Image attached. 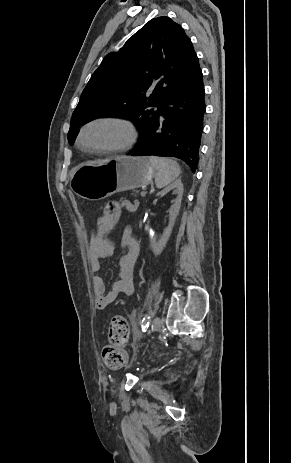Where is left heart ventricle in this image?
<instances>
[{"instance_id": "b2bd125f", "label": "left heart ventricle", "mask_w": 291, "mask_h": 463, "mask_svg": "<svg viewBox=\"0 0 291 463\" xmlns=\"http://www.w3.org/2000/svg\"><path fill=\"white\" fill-rule=\"evenodd\" d=\"M125 130L116 124L104 123L89 128L83 142L89 146L115 145L125 140Z\"/></svg>"}]
</instances>
